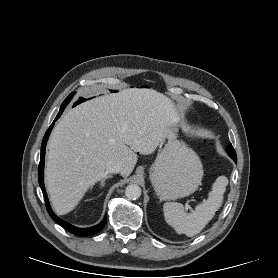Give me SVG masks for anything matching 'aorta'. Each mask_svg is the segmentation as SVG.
<instances>
[{"label": "aorta", "instance_id": "aorta-1", "mask_svg": "<svg viewBox=\"0 0 278 278\" xmlns=\"http://www.w3.org/2000/svg\"><path fill=\"white\" fill-rule=\"evenodd\" d=\"M125 195L130 200H136L141 196V188L137 184H130L125 189Z\"/></svg>", "mask_w": 278, "mask_h": 278}]
</instances>
